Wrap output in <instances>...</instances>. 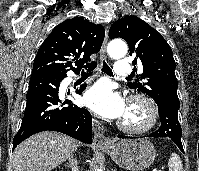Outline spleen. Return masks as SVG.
<instances>
[{"mask_svg": "<svg viewBox=\"0 0 199 171\" xmlns=\"http://www.w3.org/2000/svg\"><path fill=\"white\" fill-rule=\"evenodd\" d=\"M169 171H183L182 161L178 154L172 153L168 160Z\"/></svg>", "mask_w": 199, "mask_h": 171, "instance_id": "3e777b00", "label": "spleen"}]
</instances>
